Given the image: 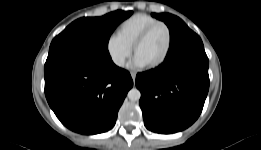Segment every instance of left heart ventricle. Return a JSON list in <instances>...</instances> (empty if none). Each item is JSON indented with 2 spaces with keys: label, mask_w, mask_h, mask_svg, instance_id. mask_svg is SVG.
I'll list each match as a JSON object with an SVG mask.
<instances>
[{
  "label": "left heart ventricle",
  "mask_w": 261,
  "mask_h": 150,
  "mask_svg": "<svg viewBox=\"0 0 261 150\" xmlns=\"http://www.w3.org/2000/svg\"><path fill=\"white\" fill-rule=\"evenodd\" d=\"M168 44L167 31L164 27H156L148 38L138 47L135 56L149 66L164 55Z\"/></svg>",
  "instance_id": "b2bd125f"
}]
</instances>
